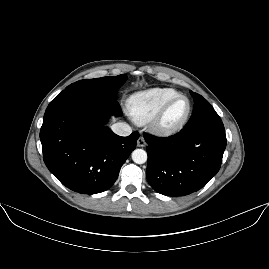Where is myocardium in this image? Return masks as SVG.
I'll use <instances>...</instances> for the list:
<instances>
[{
	"mask_svg": "<svg viewBox=\"0 0 269 269\" xmlns=\"http://www.w3.org/2000/svg\"><path fill=\"white\" fill-rule=\"evenodd\" d=\"M182 98L187 101V109H186L184 116L175 125H172V126L167 125L165 120H166V117H167L169 110L171 109V107L173 106V104L177 100L182 99ZM190 112H191L190 100L186 96L178 95V96L170 99L164 105V107L159 111V113L151 120V127L154 131H156L159 134L174 135V134L178 133L179 131H181L183 129V127L186 125L188 118H189V115H190Z\"/></svg>",
	"mask_w": 269,
	"mask_h": 269,
	"instance_id": "myocardium-1",
	"label": "myocardium"
}]
</instances>
